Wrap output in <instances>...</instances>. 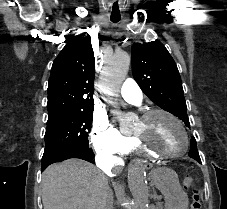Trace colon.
I'll return each instance as SVG.
<instances>
[{"instance_id":"1","label":"colon","mask_w":227,"mask_h":209,"mask_svg":"<svg viewBox=\"0 0 227 209\" xmlns=\"http://www.w3.org/2000/svg\"><path fill=\"white\" fill-rule=\"evenodd\" d=\"M183 185L186 190H190L192 193L190 209H202L200 180L188 177L183 180Z\"/></svg>"}]
</instances>
